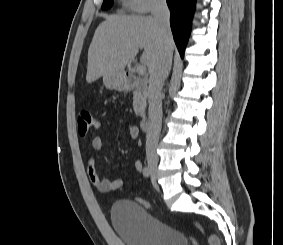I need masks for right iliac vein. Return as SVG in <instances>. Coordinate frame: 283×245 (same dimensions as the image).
I'll list each match as a JSON object with an SVG mask.
<instances>
[{"mask_svg":"<svg viewBox=\"0 0 283 245\" xmlns=\"http://www.w3.org/2000/svg\"><path fill=\"white\" fill-rule=\"evenodd\" d=\"M148 168L150 169L151 175L154 179L157 178V160L153 157L147 159Z\"/></svg>","mask_w":283,"mask_h":245,"instance_id":"obj_1","label":"right iliac vein"}]
</instances>
